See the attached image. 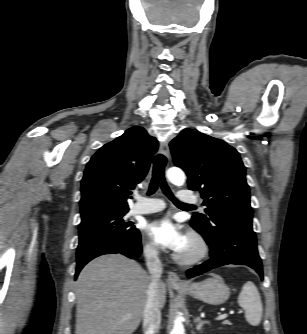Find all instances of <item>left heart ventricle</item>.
Returning a JSON list of instances; mask_svg holds the SVG:
<instances>
[{
  "label": "left heart ventricle",
  "instance_id": "obj_1",
  "mask_svg": "<svg viewBox=\"0 0 307 334\" xmlns=\"http://www.w3.org/2000/svg\"><path fill=\"white\" fill-rule=\"evenodd\" d=\"M193 250H194L193 244L189 240H187L181 252L184 254H190Z\"/></svg>",
  "mask_w": 307,
  "mask_h": 334
}]
</instances>
